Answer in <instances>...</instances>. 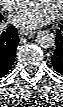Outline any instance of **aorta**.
Listing matches in <instances>:
<instances>
[{"label": "aorta", "mask_w": 63, "mask_h": 107, "mask_svg": "<svg viewBox=\"0 0 63 107\" xmlns=\"http://www.w3.org/2000/svg\"><path fill=\"white\" fill-rule=\"evenodd\" d=\"M55 34L49 30L39 31L36 41L40 47L48 49L55 45Z\"/></svg>", "instance_id": "1"}]
</instances>
